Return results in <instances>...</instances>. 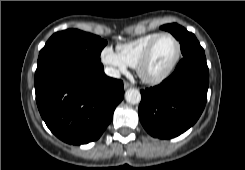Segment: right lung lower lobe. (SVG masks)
I'll return each instance as SVG.
<instances>
[{
    "instance_id": "right-lung-lower-lobe-1",
    "label": "right lung lower lobe",
    "mask_w": 245,
    "mask_h": 170,
    "mask_svg": "<svg viewBox=\"0 0 245 170\" xmlns=\"http://www.w3.org/2000/svg\"><path fill=\"white\" fill-rule=\"evenodd\" d=\"M35 91L47 127L73 145L97 140L124 97L121 80L107 77L101 62L84 60L51 67L35 79Z\"/></svg>"
}]
</instances>
